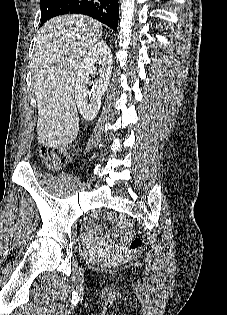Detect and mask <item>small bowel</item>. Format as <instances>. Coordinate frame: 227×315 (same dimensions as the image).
<instances>
[{"label":"small bowel","mask_w":227,"mask_h":315,"mask_svg":"<svg viewBox=\"0 0 227 315\" xmlns=\"http://www.w3.org/2000/svg\"><path fill=\"white\" fill-rule=\"evenodd\" d=\"M89 234L91 235V232H89ZM96 234L98 236H101L103 234V229L102 228H98L96 229ZM106 248L112 250V251H117L120 246H121V242H116V243H106L105 244Z\"/></svg>","instance_id":"1"}]
</instances>
